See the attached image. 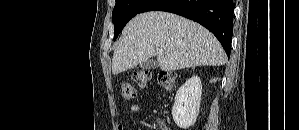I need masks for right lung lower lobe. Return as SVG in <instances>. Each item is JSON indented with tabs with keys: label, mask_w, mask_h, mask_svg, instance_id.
Instances as JSON below:
<instances>
[{
	"label": "right lung lower lobe",
	"mask_w": 299,
	"mask_h": 130,
	"mask_svg": "<svg viewBox=\"0 0 299 130\" xmlns=\"http://www.w3.org/2000/svg\"><path fill=\"white\" fill-rule=\"evenodd\" d=\"M167 11L194 20L210 30L230 56L233 0H148L139 13Z\"/></svg>",
	"instance_id": "obj_1"
}]
</instances>
